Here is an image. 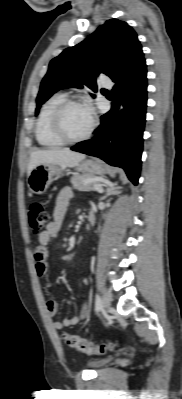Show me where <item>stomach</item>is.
<instances>
[{"label":"stomach","mask_w":182,"mask_h":399,"mask_svg":"<svg viewBox=\"0 0 182 399\" xmlns=\"http://www.w3.org/2000/svg\"><path fill=\"white\" fill-rule=\"evenodd\" d=\"M76 170L89 175H104L107 172L106 166L98 159H84L77 166ZM64 173H70L66 167L44 163L37 165L28 176L29 190L34 194H43L47 191L55 177Z\"/></svg>","instance_id":"stomach-1"}]
</instances>
